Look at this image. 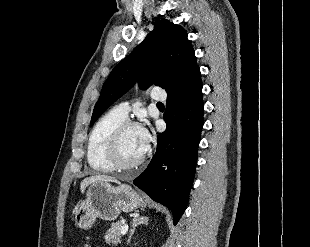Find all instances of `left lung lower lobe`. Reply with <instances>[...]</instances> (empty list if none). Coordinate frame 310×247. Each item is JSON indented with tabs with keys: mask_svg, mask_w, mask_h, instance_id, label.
Instances as JSON below:
<instances>
[{
	"mask_svg": "<svg viewBox=\"0 0 310 247\" xmlns=\"http://www.w3.org/2000/svg\"><path fill=\"white\" fill-rule=\"evenodd\" d=\"M167 94V128L158 137L155 156L133 183L168 207L176 225L186 209L204 123L200 69Z\"/></svg>",
	"mask_w": 310,
	"mask_h": 247,
	"instance_id": "0a47b994",
	"label": "left lung lower lobe"
}]
</instances>
